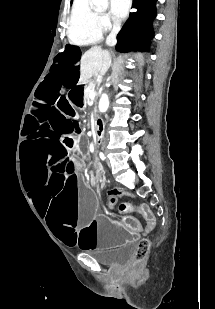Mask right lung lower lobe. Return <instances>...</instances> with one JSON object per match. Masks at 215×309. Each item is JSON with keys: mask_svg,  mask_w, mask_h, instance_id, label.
<instances>
[{"mask_svg": "<svg viewBox=\"0 0 215 309\" xmlns=\"http://www.w3.org/2000/svg\"><path fill=\"white\" fill-rule=\"evenodd\" d=\"M157 0H134L133 7L137 12L130 13L126 24L119 32L116 49L125 52L132 48L149 45L154 36L152 21L156 17Z\"/></svg>", "mask_w": 215, "mask_h": 309, "instance_id": "98d812e1", "label": "right lung lower lobe"}]
</instances>
